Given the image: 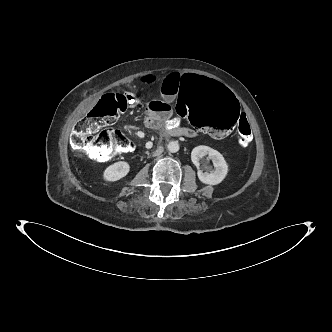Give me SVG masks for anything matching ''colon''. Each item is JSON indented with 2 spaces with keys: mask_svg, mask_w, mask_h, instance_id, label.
<instances>
[{
  "mask_svg": "<svg viewBox=\"0 0 332 332\" xmlns=\"http://www.w3.org/2000/svg\"><path fill=\"white\" fill-rule=\"evenodd\" d=\"M175 98L179 116L205 134L222 137L237 126L238 145L246 148L251 144L249 123L244 119L238 123V99L208 74L192 72L183 76L176 85ZM132 99L127 94L104 95L75 125L70 139L72 150L97 162L131 151L132 142L123 132L106 127L131 105Z\"/></svg>",
  "mask_w": 332,
  "mask_h": 332,
  "instance_id": "1",
  "label": "colon"
}]
</instances>
